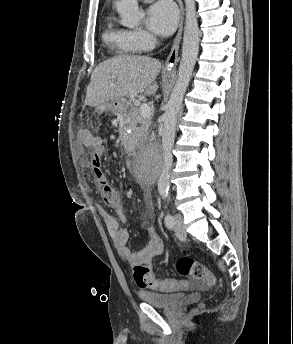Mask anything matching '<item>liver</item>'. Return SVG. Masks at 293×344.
I'll list each match as a JSON object with an SVG mask.
<instances>
[{
    "instance_id": "1",
    "label": "liver",
    "mask_w": 293,
    "mask_h": 344,
    "mask_svg": "<svg viewBox=\"0 0 293 344\" xmlns=\"http://www.w3.org/2000/svg\"><path fill=\"white\" fill-rule=\"evenodd\" d=\"M160 69L159 60L148 56L120 55L103 61L92 72L85 104L95 107L139 92L153 94L158 89L154 80Z\"/></svg>"
}]
</instances>
